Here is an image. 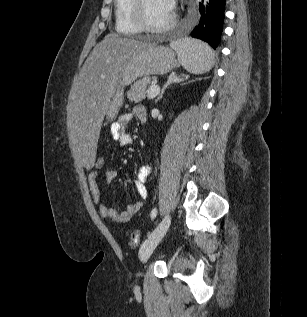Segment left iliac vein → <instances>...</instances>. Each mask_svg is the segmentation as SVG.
<instances>
[{"instance_id": "1", "label": "left iliac vein", "mask_w": 307, "mask_h": 317, "mask_svg": "<svg viewBox=\"0 0 307 317\" xmlns=\"http://www.w3.org/2000/svg\"><path fill=\"white\" fill-rule=\"evenodd\" d=\"M171 223V217L166 215L156 226L148 238L143 242L139 250V256L142 261H146L157 245L160 243Z\"/></svg>"}]
</instances>
